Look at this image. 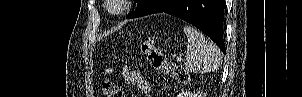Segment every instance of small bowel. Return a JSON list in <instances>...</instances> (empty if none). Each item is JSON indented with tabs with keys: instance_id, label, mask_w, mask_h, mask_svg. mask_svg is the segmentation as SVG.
<instances>
[{
	"instance_id": "obj_1",
	"label": "small bowel",
	"mask_w": 302,
	"mask_h": 97,
	"mask_svg": "<svg viewBox=\"0 0 302 97\" xmlns=\"http://www.w3.org/2000/svg\"><path fill=\"white\" fill-rule=\"evenodd\" d=\"M122 77L124 81L133 84L139 93L146 94L150 91V84L141 72L124 66L122 69Z\"/></svg>"
}]
</instances>
